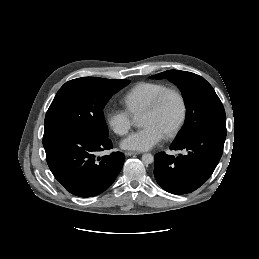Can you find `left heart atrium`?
I'll list each match as a JSON object with an SVG mask.
<instances>
[{"label": "left heart atrium", "mask_w": 259, "mask_h": 259, "mask_svg": "<svg viewBox=\"0 0 259 259\" xmlns=\"http://www.w3.org/2000/svg\"><path fill=\"white\" fill-rule=\"evenodd\" d=\"M164 134L155 126L147 125L130 134L121 142V147L127 150L147 151L156 146Z\"/></svg>", "instance_id": "left-heart-atrium-1"}]
</instances>
